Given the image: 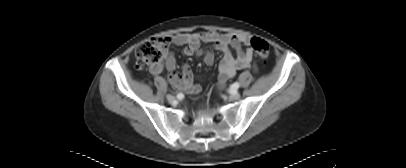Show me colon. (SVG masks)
<instances>
[{
	"mask_svg": "<svg viewBox=\"0 0 406 168\" xmlns=\"http://www.w3.org/2000/svg\"><path fill=\"white\" fill-rule=\"evenodd\" d=\"M249 43L254 52L266 60L269 56V45L260 37H252ZM169 51V39L166 37H152L139 45L136 50V57L148 65L161 64L167 57Z\"/></svg>",
	"mask_w": 406,
	"mask_h": 168,
	"instance_id": "5ec220e1",
	"label": "colon"
}]
</instances>
